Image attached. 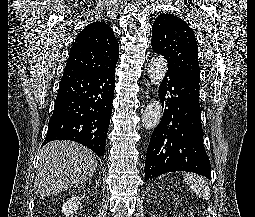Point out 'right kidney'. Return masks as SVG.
<instances>
[{
  "instance_id": "1",
  "label": "right kidney",
  "mask_w": 255,
  "mask_h": 217,
  "mask_svg": "<svg viewBox=\"0 0 255 217\" xmlns=\"http://www.w3.org/2000/svg\"><path fill=\"white\" fill-rule=\"evenodd\" d=\"M81 200L82 198L78 196H73L69 198L62 206V213H64L66 217H69L76 213L79 205L81 204Z\"/></svg>"
}]
</instances>
